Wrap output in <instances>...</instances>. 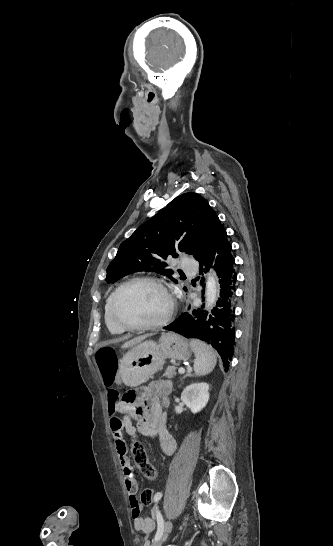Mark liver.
Returning a JSON list of instances; mask_svg holds the SVG:
<instances>
[{"instance_id": "obj_1", "label": "liver", "mask_w": 333, "mask_h": 546, "mask_svg": "<svg viewBox=\"0 0 333 546\" xmlns=\"http://www.w3.org/2000/svg\"><path fill=\"white\" fill-rule=\"evenodd\" d=\"M147 337L148 335H142V336L136 337L130 341L125 342L121 347L124 349L133 347L139 344L141 341L145 340Z\"/></svg>"}]
</instances>
